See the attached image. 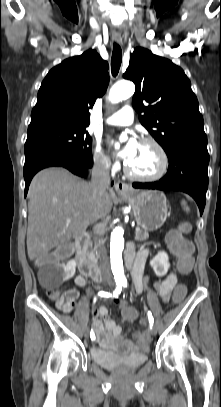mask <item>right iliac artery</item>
Segmentation results:
<instances>
[{
    "label": "right iliac artery",
    "mask_w": 221,
    "mask_h": 407,
    "mask_svg": "<svg viewBox=\"0 0 221 407\" xmlns=\"http://www.w3.org/2000/svg\"><path fill=\"white\" fill-rule=\"evenodd\" d=\"M117 284V286H116V289L113 291V293L112 294H110V293H105V292H103V291H101V292H99L98 293V295L99 296H107V297H118V295L120 294V292H121V290H122V283L121 282H117L116 283ZM97 300V297H95L94 298V302ZM90 337H91V340H95V334H94V332H93V330H91V332H90Z\"/></svg>",
    "instance_id": "1"
}]
</instances>
